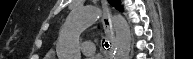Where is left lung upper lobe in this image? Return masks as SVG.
Masks as SVG:
<instances>
[{
	"label": "left lung upper lobe",
	"mask_w": 193,
	"mask_h": 59,
	"mask_svg": "<svg viewBox=\"0 0 193 59\" xmlns=\"http://www.w3.org/2000/svg\"><path fill=\"white\" fill-rule=\"evenodd\" d=\"M109 3L116 7L118 10L122 11V8L120 6V0H109Z\"/></svg>",
	"instance_id": "obj_1"
}]
</instances>
